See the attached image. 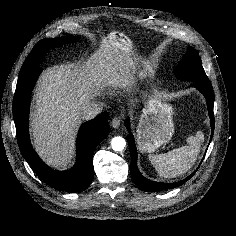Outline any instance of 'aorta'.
Segmentation results:
<instances>
[{
  "label": "aorta",
  "mask_w": 236,
  "mask_h": 236,
  "mask_svg": "<svg viewBox=\"0 0 236 236\" xmlns=\"http://www.w3.org/2000/svg\"><path fill=\"white\" fill-rule=\"evenodd\" d=\"M111 146L114 151H122L126 146V141L123 137H114L111 141Z\"/></svg>",
  "instance_id": "obj_1"
}]
</instances>
